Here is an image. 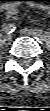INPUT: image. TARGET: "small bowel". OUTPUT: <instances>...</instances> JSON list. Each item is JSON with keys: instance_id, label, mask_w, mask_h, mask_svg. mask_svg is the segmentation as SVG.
I'll list each match as a JSON object with an SVG mask.
<instances>
[{"instance_id": "1", "label": "small bowel", "mask_w": 50, "mask_h": 111, "mask_svg": "<svg viewBox=\"0 0 50 111\" xmlns=\"http://www.w3.org/2000/svg\"><path fill=\"white\" fill-rule=\"evenodd\" d=\"M16 13L15 8H9L7 9V17H12Z\"/></svg>"}]
</instances>
